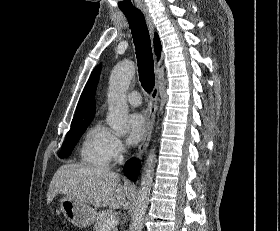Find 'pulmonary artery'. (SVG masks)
I'll return each mask as SVG.
<instances>
[{
  "mask_svg": "<svg viewBox=\"0 0 280 231\" xmlns=\"http://www.w3.org/2000/svg\"><path fill=\"white\" fill-rule=\"evenodd\" d=\"M126 99L133 106H138L141 103V95L137 91L128 93Z\"/></svg>",
  "mask_w": 280,
  "mask_h": 231,
  "instance_id": "e3ab8cb5",
  "label": "pulmonary artery"
}]
</instances>
